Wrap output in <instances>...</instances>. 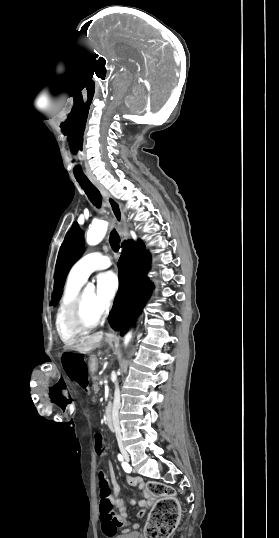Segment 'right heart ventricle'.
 <instances>
[{
	"instance_id": "obj_1",
	"label": "right heart ventricle",
	"mask_w": 279,
	"mask_h": 538,
	"mask_svg": "<svg viewBox=\"0 0 279 538\" xmlns=\"http://www.w3.org/2000/svg\"><path fill=\"white\" fill-rule=\"evenodd\" d=\"M109 230H110L109 218L96 211L94 213L92 222L87 229V237L90 240L94 235L96 234L105 235L106 233H108ZM85 281L86 280L77 278L71 268L65 288H64V292L59 302V306L57 308V313H56V329L59 336L64 342H71L80 335V334H72L66 330L64 326V316L69 305L73 302V300L77 297V295L81 291Z\"/></svg>"
}]
</instances>
